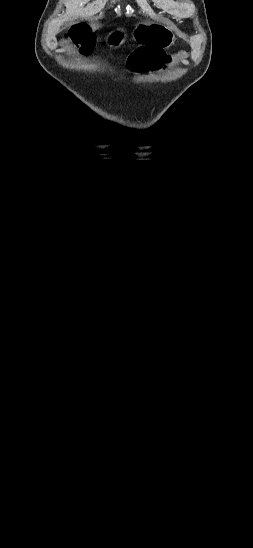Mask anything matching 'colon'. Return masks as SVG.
<instances>
[{
	"mask_svg": "<svg viewBox=\"0 0 253 548\" xmlns=\"http://www.w3.org/2000/svg\"><path fill=\"white\" fill-rule=\"evenodd\" d=\"M70 35L75 38L83 48H87L92 43V37L89 35L88 28L85 24L79 23L71 28ZM163 58L161 49L151 50H135L128 57V63L132 69L145 71H157L161 73L164 67L160 60Z\"/></svg>",
	"mask_w": 253,
	"mask_h": 548,
	"instance_id": "obj_1",
	"label": "colon"
}]
</instances>
